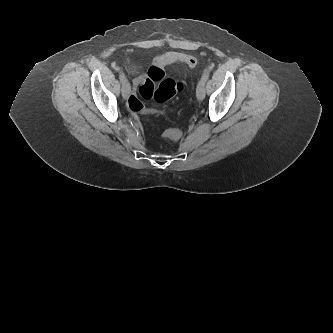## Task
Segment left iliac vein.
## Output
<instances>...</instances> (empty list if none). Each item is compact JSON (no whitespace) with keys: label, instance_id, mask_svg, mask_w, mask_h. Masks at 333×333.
<instances>
[{"label":"left iliac vein","instance_id":"obj_1","mask_svg":"<svg viewBox=\"0 0 333 333\" xmlns=\"http://www.w3.org/2000/svg\"><path fill=\"white\" fill-rule=\"evenodd\" d=\"M205 84L200 81L196 89V97L199 101H202L205 98Z\"/></svg>","mask_w":333,"mask_h":333}]
</instances>
